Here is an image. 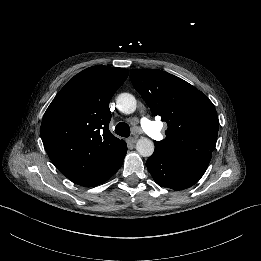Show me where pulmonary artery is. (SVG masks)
Here are the masks:
<instances>
[{
    "instance_id": "e3ab8cb5",
    "label": "pulmonary artery",
    "mask_w": 261,
    "mask_h": 261,
    "mask_svg": "<svg viewBox=\"0 0 261 261\" xmlns=\"http://www.w3.org/2000/svg\"><path fill=\"white\" fill-rule=\"evenodd\" d=\"M146 130L147 133L150 137V139H152V141L154 142H159L162 139V134L158 129V126L156 124V122L154 121H149L146 124Z\"/></svg>"
}]
</instances>
